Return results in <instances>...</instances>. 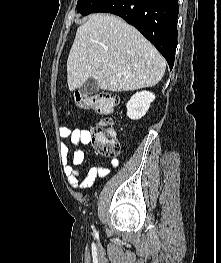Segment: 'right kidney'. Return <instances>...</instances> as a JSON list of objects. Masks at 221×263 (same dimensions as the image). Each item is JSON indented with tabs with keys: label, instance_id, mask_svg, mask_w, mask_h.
<instances>
[{
	"label": "right kidney",
	"instance_id": "obj_1",
	"mask_svg": "<svg viewBox=\"0 0 221 263\" xmlns=\"http://www.w3.org/2000/svg\"><path fill=\"white\" fill-rule=\"evenodd\" d=\"M154 100L155 95L152 92L141 91L135 93L126 104L127 116L131 120L142 118Z\"/></svg>",
	"mask_w": 221,
	"mask_h": 263
}]
</instances>
